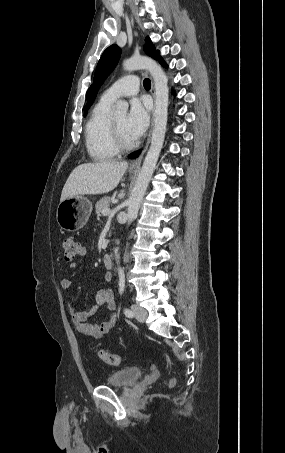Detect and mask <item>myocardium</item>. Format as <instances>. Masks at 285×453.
Wrapping results in <instances>:
<instances>
[{
  "label": "myocardium",
  "mask_w": 285,
  "mask_h": 453,
  "mask_svg": "<svg viewBox=\"0 0 285 453\" xmlns=\"http://www.w3.org/2000/svg\"><path fill=\"white\" fill-rule=\"evenodd\" d=\"M111 133L113 142L118 149V151H129L134 149L138 142L136 140L126 141L120 133V130L115 123L114 119H111Z\"/></svg>",
  "instance_id": "obj_1"
}]
</instances>
